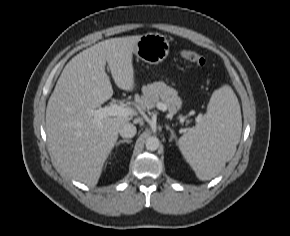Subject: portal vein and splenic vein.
I'll return each instance as SVG.
<instances>
[{
	"label": "portal vein and splenic vein",
	"mask_w": 290,
	"mask_h": 236,
	"mask_svg": "<svg viewBox=\"0 0 290 236\" xmlns=\"http://www.w3.org/2000/svg\"><path fill=\"white\" fill-rule=\"evenodd\" d=\"M156 107L161 111L167 110V106L162 102H159L156 105ZM133 113L134 111L130 107H127L125 105H119L117 103H113L110 106H105L103 108L89 111V114L94 117V120L97 123H100V121L106 117H114V116L126 117V116H132Z\"/></svg>",
	"instance_id": "18ae733b"
}]
</instances>
